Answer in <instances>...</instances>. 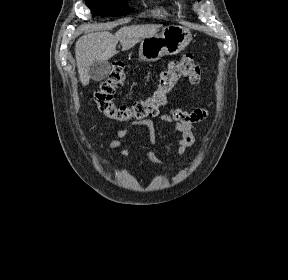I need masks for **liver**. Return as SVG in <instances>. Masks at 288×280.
Returning <instances> with one entry per match:
<instances>
[{"label":"liver","instance_id":"obj_1","mask_svg":"<svg viewBox=\"0 0 288 280\" xmlns=\"http://www.w3.org/2000/svg\"><path fill=\"white\" fill-rule=\"evenodd\" d=\"M161 27V25H131L120 28L115 34L99 31L80 37L75 45V56L82 85L86 86L89 83L88 71L94 61H107L117 54L118 41L122 45V50L126 51L142 39L154 36Z\"/></svg>","mask_w":288,"mask_h":280}]
</instances>
